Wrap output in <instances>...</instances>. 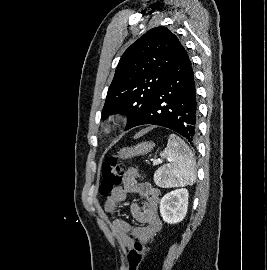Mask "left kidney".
I'll return each mask as SVG.
<instances>
[{
	"instance_id": "left-kidney-1",
	"label": "left kidney",
	"mask_w": 267,
	"mask_h": 270,
	"mask_svg": "<svg viewBox=\"0 0 267 270\" xmlns=\"http://www.w3.org/2000/svg\"><path fill=\"white\" fill-rule=\"evenodd\" d=\"M188 190L185 188L173 190L164 195L160 201V214L168 224L181 222L188 209Z\"/></svg>"
}]
</instances>
